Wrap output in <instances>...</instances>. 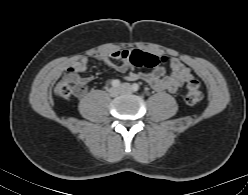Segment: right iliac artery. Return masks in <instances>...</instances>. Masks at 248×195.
<instances>
[{"label": "right iliac artery", "instance_id": "82829eb1", "mask_svg": "<svg viewBox=\"0 0 248 195\" xmlns=\"http://www.w3.org/2000/svg\"><path fill=\"white\" fill-rule=\"evenodd\" d=\"M121 82L118 79L112 80L111 85L113 87H118L120 86Z\"/></svg>", "mask_w": 248, "mask_h": 195}]
</instances>
